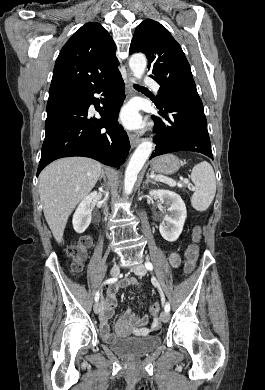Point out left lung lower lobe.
<instances>
[{
    "instance_id": "left-lung-lower-lobe-1",
    "label": "left lung lower lobe",
    "mask_w": 265,
    "mask_h": 390,
    "mask_svg": "<svg viewBox=\"0 0 265 390\" xmlns=\"http://www.w3.org/2000/svg\"><path fill=\"white\" fill-rule=\"evenodd\" d=\"M155 103L162 117L152 116L156 136L155 156L177 151H194L213 159L207 120L196 89L163 91Z\"/></svg>"
}]
</instances>
